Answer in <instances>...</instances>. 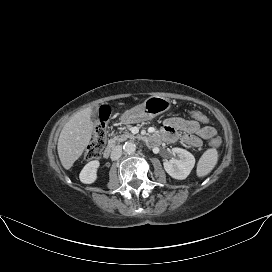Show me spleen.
<instances>
[{
  "instance_id": "obj_1",
  "label": "spleen",
  "mask_w": 272,
  "mask_h": 272,
  "mask_svg": "<svg viewBox=\"0 0 272 272\" xmlns=\"http://www.w3.org/2000/svg\"><path fill=\"white\" fill-rule=\"evenodd\" d=\"M218 161V152L216 149H208L199 159L197 165V176L204 177L209 174Z\"/></svg>"
}]
</instances>
